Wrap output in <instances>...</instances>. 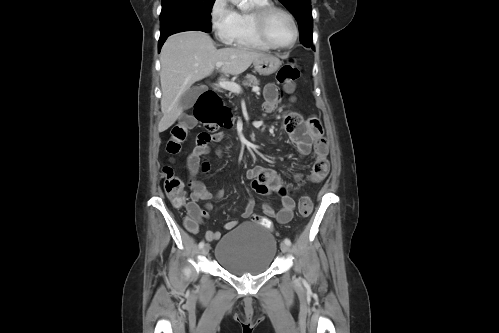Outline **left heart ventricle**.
Masks as SVG:
<instances>
[{"label":"left heart ventricle","instance_id":"left-heart-ventricle-1","mask_svg":"<svg viewBox=\"0 0 499 333\" xmlns=\"http://www.w3.org/2000/svg\"><path fill=\"white\" fill-rule=\"evenodd\" d=\"M270 39L278 45H286L293 38V27L289 18L281 12H273L267 21Z\"/></svg>","mask_w":499,"mask_h":333}]
</instances>
